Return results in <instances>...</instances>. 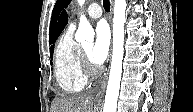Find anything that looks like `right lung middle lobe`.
I'll return each mask as SVG.
<instances>
[{"instance_id":"dd1d6c3e","label":"right lung middle lobe","mask_w":193,"mask_h":112,"mask_svg":"<svg viewBox=\"0 0 193 112\" xmlns=\"http://www.w3.org/2000/svg\"><path fill=\"white\" fill-rule=\"evenodd\" d=\"M53 51H54V49H51V50H50L51 59L53 58Z\"/></svg>"}]
</instances>
